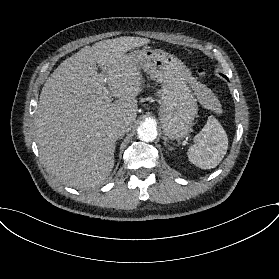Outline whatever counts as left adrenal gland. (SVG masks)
Returning a JSON list of instances; mask_svg holds the SVG:
<instances>
[{"label": "left adrenal gland", "mask_w": 279, "mask_h": 279, "mask_svg": "<svg viewBox=\"0 0 279 279\" xmlns=\"http://www.w3.org/2000/svg\"><path fill=\"white\" fill-rule=\"evenodd\" d=\"M169 150H170V151H173V150H174V148L170 147V148H169Z\"/></svg>", "instance_id": "obj_1"}]
</instances>
